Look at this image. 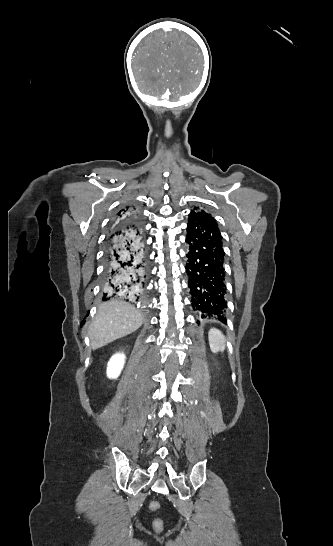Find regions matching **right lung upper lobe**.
<instances>
[{
    "instance_id": "obj_1",
    "label": "right lung upper lobe",
    "mask_w": 333,
    "mask_h": 546,
    "mask_svg": "<svg viewBox=\"0 0 333 546\" xmlns=\"http://www.w3.org/2000/svg\"><path fill=\"white\" fill-rule=\"evenodd\" d=\"M125 208H126V210H128V209H129V206H127V207H125ZM125 208L123 209L124 211L121 210V211H119V213L117 214V220L114 222L113 227L116 228V227H123V226H125L124 222L121 220L123 214L126 212V211H125Z\"/></svg>"
}]
</instances>
